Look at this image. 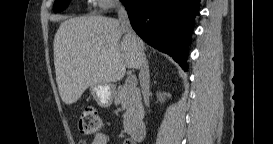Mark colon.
<instances>
[{
	"label": "colon",
	"instance_id": "colon-1",
	"mask_svg": "<svg viewBox=\"0 0 273 144\" xmlns=\"http://www.w3.org/2000/svg\"><path fill=\"white\" fill-rule=\"evenodd\" d=\"M102 127V119L96 108L92 106L85 107L78 119V131L82 135L97 134Z\"/></svg>",
	"mask_w": 273,
	"mask_h": 144
}]
</instances>
